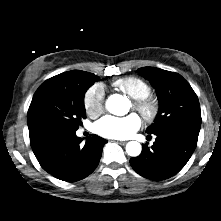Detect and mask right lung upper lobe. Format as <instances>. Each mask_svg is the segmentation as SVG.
Returning <instances> with one entry per match:
<instances>
[{
  "label": "right lung upper lobe",
  "instance_id": "obj_1",
  "mask_svg": "<svg viewBox=\"0 0 221 221\" xmlns=\"http://www.w3.org/2000/svg\"><path fill=\"white\" fill-rule=\"evenodd\" d=\"M65 73V72H64ZM30 144L34 146L39 140H41L45 135L39 134L29 128Z\"/></svg>",
  "mask_w": 221,
  "mask_h": 221
}]
</instances>
